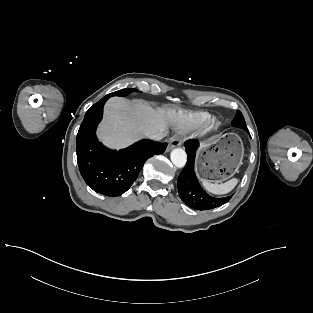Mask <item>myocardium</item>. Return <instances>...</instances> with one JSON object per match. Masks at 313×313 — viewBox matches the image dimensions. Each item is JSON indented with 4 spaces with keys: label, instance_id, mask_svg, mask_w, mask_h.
Returning a JSON list of instances; mask_svg holds the SVG:
<instances>
[{
    "label": "myocardium",
    "instance_id": "obj_1",
    "mask_svg": "<svg viewBox=\"0 0 313 313\" xmlns=\"http://www.w3.org/2000/svg\"><path fill=\"white\" fill-rule=\"evenodd\" d=\"M218 126H219V122L216 119H211L208 121L205 127V132H212L216 130Z\"/></svg>",
    "mask_w": 313,
    "mask_h": 313
}]
</instances>
